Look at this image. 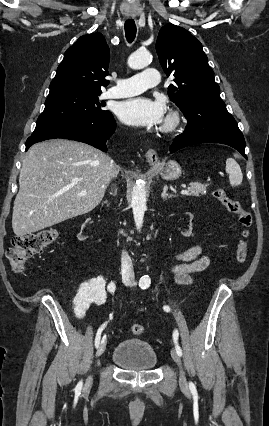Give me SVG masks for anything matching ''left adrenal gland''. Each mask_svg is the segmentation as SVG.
I'll use <instances>...</instances> for the list:
<instances>
[{
  "label": "left adrenal gland",
  "instance_id": "obj_1",
  "mask_svg": "<svg viewBox=\"0 0 269 426\" xmlns=\"http://www.w3.org/2000/svg\"><path fill=\"white\" fill-rule=\"evenodd\" d=\"M167 190H168V186L164 185L163 192L161 194V197L163 198V200H166L167 198L175 197L173 194H168Z\"/></svg>",
  "mask_w": 269,
  "mask_h": 426
}]
</instances>
